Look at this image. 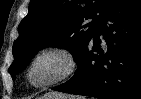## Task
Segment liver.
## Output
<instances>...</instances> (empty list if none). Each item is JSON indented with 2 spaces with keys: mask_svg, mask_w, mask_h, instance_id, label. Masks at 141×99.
I'll return each mask as SVG.
<instances>
[{
  "mask_svg": "<svg viewBox=\"0 0 141 99\" xmlns=\"http://www.w3.org/2000/svg\"><path fill=\"white\" fill-rule=\"evenodd\" d=\"M44 98H49V99H68V96L65 94H60L57 92H53L51 94H46Z\"/></svg>",
  "mask_w": 141,
  "mask_h": 99,
  "instance_id": "6515ba94",
  "label": "liver"
}]
</instances>
